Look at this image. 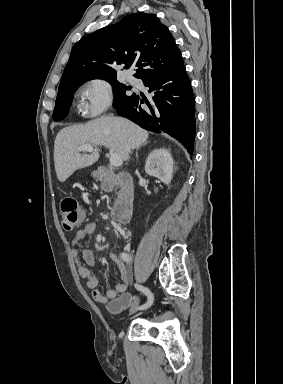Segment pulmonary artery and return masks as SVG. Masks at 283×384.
<instances>
[{
  "label": "pulmonary artery",
  "instance_id": "obj_1",
  "mask_svg": "<svg viewBox=\"0 0 283 384\" xmlns=\"http://www.w3.org/2000/svg\"><path fill=\"white\" fill-rule=\"evenodd\" d=\"M126 81L137 86V87L143 86L142 82L139 79H137L136 77H134L132 74H128L126 76Z\"/></svg>",
  "mask_w": 283,
  "mask_h": 384
}]
</instances>
